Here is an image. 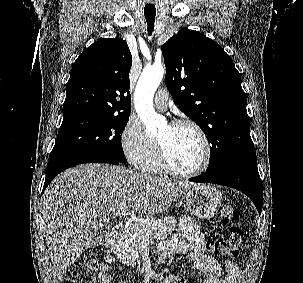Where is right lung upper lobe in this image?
<instances>
[{"instance_id": "1", "label": "right lung upper lobe", "mask_w": 303, "mask_h": 283, "mask_svg": "<svg viewBox=\"0 0 303 283\" xmlns=\"http://www.w3.org/2000/svg\"><path fill=\"white\" fill-rule=\"evenodd\" d=\"M132 56L126 41L103 38L77 58L66 84L63 117L79 113L129 117Z\"/></svg>"}]
</instances>
